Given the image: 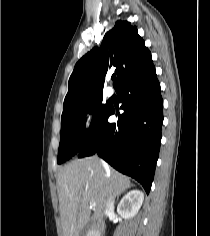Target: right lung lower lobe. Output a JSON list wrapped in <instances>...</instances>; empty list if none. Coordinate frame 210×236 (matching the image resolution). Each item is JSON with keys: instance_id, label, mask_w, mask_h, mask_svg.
I'll return each mask as SVG.
<instances>
[{"instance_id": "obj_1", "label": "right lung lower lobe", "mask_w": 210, "mask_h": 236, "mask_svg": "<svg viewBox=\"0 0 210 236\" xmlns=\"http://www.w3.org/2000/svg\"><path fill=\"white\" fill-rule=\"evenodd\" d=\"M120 102L117 124L109 123L112 107L77 153L79 158L97 153L115 169L150 191L161 144L163 100L153 63L122 81L116 88Z\"/></svg>"}]
</instances>
